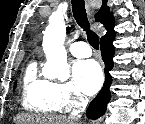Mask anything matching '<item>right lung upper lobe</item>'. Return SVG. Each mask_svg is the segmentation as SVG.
<instances>
[{
  "mask_svg": "<svg viewBox=\"0 0 145 124\" xmlns=\"http://www.w3.org/2000/svg\"><path fill=\"white\" fill-rule=\"evenodd\" d=\"M102 2V6L95 16V20L102 23L108 33L114 30V18L110 12V8L107 6V0H102Z\"/></svg>",
  "mask_w": 145,
  "mask_h": 124,
  "instance_id": "cb5924a9",
  "label": "right lung upper lobe"
}]
</instances>
